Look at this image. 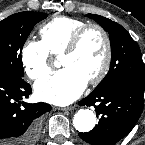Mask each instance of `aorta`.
<instances>
[{"mask_svg": "<svg viewBox=\"0 0 145 145\" xmlns=\"http://www.w3.org/2000/svg\"><path fill=\"white\" fill-rule=\"evenodd\" d=\"M96 124V115L89 109H80L73 118V125L79 132H89Z\"/></svg>", "mask_w": 145, "mask_h": 145, "instance_id": "aorta-1", "label": "aorta"}]
</instances>
